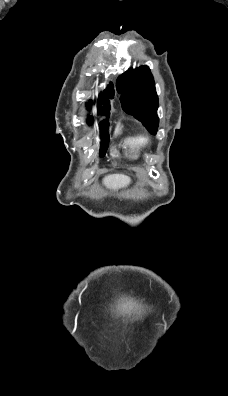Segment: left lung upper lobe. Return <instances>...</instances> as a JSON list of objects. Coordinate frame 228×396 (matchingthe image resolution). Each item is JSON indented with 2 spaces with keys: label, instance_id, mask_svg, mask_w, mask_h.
<instances>
[{
  "label": "left lung upper lobe",
  "instance_id": "left-lung-upper-lobe-1",
  "mask_svg": "<svg viewBox=\"0 0 228 396\" xmlns=\"http://www.w3.org/2000/svg\"><path fill=\"white\" fill-rule=\"evenodd\" d=\"M117 91L122 94V108L141 121L151 134H156L158 96L150 69L141 66L128 69L117 80Z\"/></svg>",
  "mask_w": 228,
  "mask_h": 396
}]
</instances>
